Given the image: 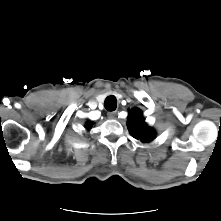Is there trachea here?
Listing matches in <instances>:
<instances>
[{
    "mask_svg": "<svg viewBox=\"0 0 221 221\" xmlns=\"http://www.w3.org/2000/svg\"><path fill=\"white\" fill-rule=\"evenodd\" d=\"M104 106L108 111H114L117 107V101L115 96H108L105 99Z\"/></svg>",
    "mask_w": 221,
    "mask_h": 221,
    "instance_id": "3493384b",
    "label": "trachea"
}]
</instances>
